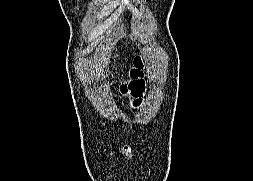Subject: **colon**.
Returning a JSON list of instances; mask_svg holds the SVG:
<instances>
[{
	"label": "colon",
	"instance_id": "colon-1",
	"mask_svg": "<svg viewBox=\"0 0 253 181\" xmlns=\"http://www.w3.org/2000/svg\"><path fill=\"white\" fill-rule=\"evenodd\" d=\"M140 60H137V67H133L128 74L129 80L122 84V92L128 94L134 99H139L143 93V82L141 81V73L138 69Z\"/></svg>",
	"mask_w": 253,
	"mask_h": 181
}]
</instances>
